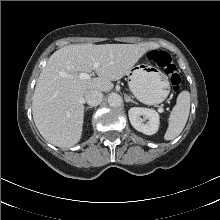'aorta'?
<instances>
[{
  "label": "aorta",
  "mask_w": 220,
  "mask_h": 220,
  "mask_svg": "<svg viewBox=\"0 0 220 220\" xmlns=\"http://www.w3.org/2000/svg\"><path fill=\"white\" fill-rule=\"evenodd\" d=\"M108 104L109 106L114 107V108L121 106L122 104L121 96L117 93L110 94L108 97Z\"/></svg>",
  "instance_id": "obj_1"
}]
</instances>
